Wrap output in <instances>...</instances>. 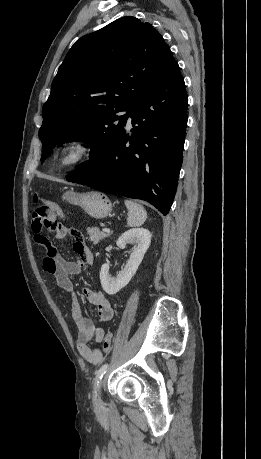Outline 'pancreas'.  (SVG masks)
<instances>
[{
    "instance_id": "1",
    "label": "pancreas",
    "mask_w": 261,
    "mask_h": 459,
    "mask_svg": "<svg viewBox=\"0 0 261 459\" xmlns=\"http://www.w3.org/2000/svg\"><path fill=\"white\" fill-rule=\"evenodd\" d=\"M87 234L89 235V240L94 244H97L102 239L110 236V232L99 230L97 227L87 228Z\"/></svg>"
}]
</instances>
